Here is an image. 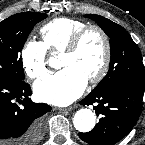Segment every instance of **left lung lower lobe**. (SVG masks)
Listing matches in <instances>:
<instances>
[{
  "mask_svg": "<svg viewBox=\"0 0 145 145\" xmlns=\"http://www.w3.org/2000/svg\"><path fill=\"white\" fill-rule=\"evenodd\" d=\"M143 91L135 86L119 85L98 94L90 93L81 104L97 103L96 114L103 117L92 131L80 132L79 137L90 145H114L120 141L141 114Z\"/></svg>",
  "mask_w": 145,
  "mask_h": 145,
  "instance_id": "0a47b994",
  "label": "left lung lower lobe"
}]
</instances>
